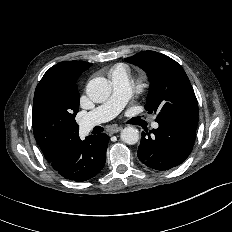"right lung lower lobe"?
<instances>
[{"label":"right lung lower lobe","instance_id":"98d812e1","mask_svg":"<svg viewBox=\"0 0 232 232\" xmlns=\"http://www.w3.org/2000/svg\"><path fill=\"white\" fill-rule=\"evenodd\" d=\"M109 137L90 135L72 140L64 149L59 165L53 167L64 178L82 182L96 176L104 167Z\"/></svg>","mask_w":232,"mask_h":232}]
</instances>
